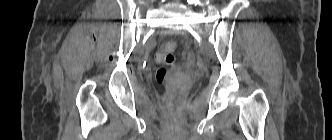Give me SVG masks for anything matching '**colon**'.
Returning a JSON list of instances; mask_svg holds the SVG:
<instances>
[{"label":"colon","mask_w":332,"mask_h":140,"mask_svg":"<svg viewBox=\"0 0 332 140\" xmlns=\"http://www.w3.org/2000/svg\"><path fill=\"white\" fill-rule=\"evenodd\" d=\"M175 50V42H166L156 52V61L162 65L156 72V80L161 85L165 84L170 70L176 64Z\"/></svg>","instance_id":"colon-1"}]
</instances>
